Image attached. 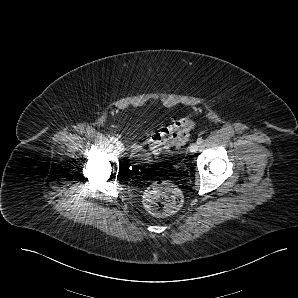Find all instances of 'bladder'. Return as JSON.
<instances>
[{
	"label": "bladder",
	"instance_id": "31cf9c89",
	"mask_svg": "<svg viewBox=\"0 0 298 298\" xmlns=\"http://www.w3.org/2000/svg\"><path fill=\"white\" fill-rule=\"evenodd\" d=\"M131 154L136 159H147L149 154L145 145L139 141H134L131 146Z\"/></svg>",
	"mask_w": 298,
	"mask_h": 298
}]
</instances>
